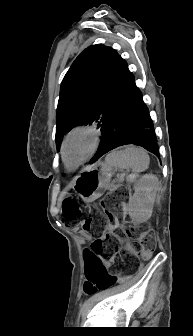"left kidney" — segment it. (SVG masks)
<instances>
[{
    "mask_svg": "<svg viewBox=\"0 0 193 336\" xmlns=\"http://www.w3.org/2000/svg\"><path fill=\"white\" fill-rule=\"evenodd\" d=\"M158 188L159 181L154 174H146L136 183L129 201V215L135 223L146 222L151 217Z\"/></svg>",
    "mask_w": 193,
    "mask_h": 336,
    "instance_id": "1",
    "label": "left kidney"
}]
</instances>
